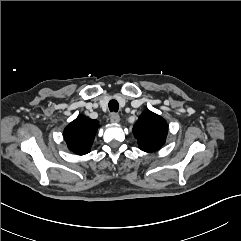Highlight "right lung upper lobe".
<instances>
[{
  "label": "right lung upper lobe",
  "mask_w": 241,
  "mask_h": 241,
  "mask_svg": "<svg viewBox=\"0 0 241 241\" xmlns=\"http://www.w3.org/2000/svg\"><path fill=\"white\" fill-rule=\"evenodd\" d=\"M98 127L97 120L79 115L64 130L68 148L78 155L89 153Z\"/></svg>",
  "instance_id": "1"
}]
</instances>
